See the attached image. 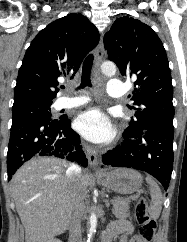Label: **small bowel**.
<instances>
[{
	"mask_svg": "<svg viewBox=\"0 0 187 242\" xmlns=\"http://www.w3.org/2000/svg\"><path fill=\"white\" fill-rule=\"evenodd\" d=\"M133 226L130 222L126 220H118L111 224L105 234L110 235L112 237L121 235L120 242H135V238L128 240V237L133 233Z\"/></svg>",
	"mask_w": 187,
	"mask_h": 242,
	"instance_id": "1",
	"label": "small bowel"
}]
</instances>
